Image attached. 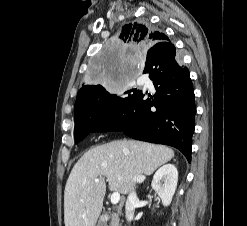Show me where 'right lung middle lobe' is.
<instances>
[{"instance_id": "1", "label": "right lung middle lobe", "mask_w": 247, "mask_h": 226, "mask_svg": "<svg viewBox=\"0 0 247 226\" xmlns=\"http://www.w3.org/2000/svg\"><path fill=\"white\" fill-rule=\"evenodd\" d=\"M97 86L99 88L91 95L75 103V142L96 131L97 125L117 110L127 98V92L114 93L104 86Z\"/></svg>"}]
</instances>
